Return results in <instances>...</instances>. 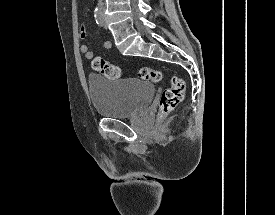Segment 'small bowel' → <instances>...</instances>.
I'll return each instance as SVG.
<instances>
[{"mask_svg": "<svg viewBox=\"0 0 275 215\" xmlns=\"http://www.w3.org/2000/svg\"><path fill=\"white\" fill-rule=\"evenodd\" d=\"M87 36V31H86V28L84 26H81L80 30H79V33H78V37L80 39H84L85 37ZM112 46V42L111 41H105L103 43V47L105 49H109L111 48ZM79 52L84 55V57L87 59V60H92L94 58V54L93 52L88 48V46L86 45H81L79 47Z\"/></svg>", "mask_w": 275, "mask_h": 215, "instance_id": "small-bowel-1", "label": "small bowel"}]
</instances>
